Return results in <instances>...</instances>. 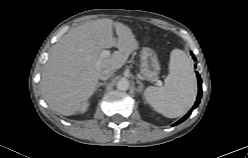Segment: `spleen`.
Wrapping results in <instances>:
<instances>
[{
    "label": "spleen",
    "instance_id": "3e777b00",
    "mask_svg": "<svg viewBox=\"0 0 248 158\" xmlns=\"http://www.w3.org/2000/svg\"><path fill=\"white\" fill-rule=\"evenodd\" d=\"M144 95L156 111L168 118L182 116L192 107L197 95V80L184 51L172 50L164 86H150Z\"/></svg>",
    "mask_w": 248,
    "mask_h": 158
}]
</instances>
